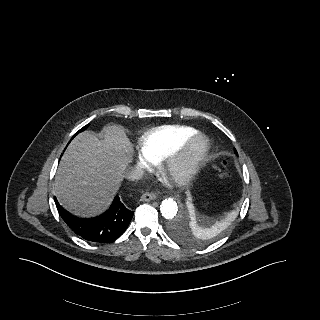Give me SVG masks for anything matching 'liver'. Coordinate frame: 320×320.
I'll use <instances>...</instances> for the list:
<instances>
[{
    "mask_svg": "<svg viewBox=\"0 0 320 320\" xmlns=\"http://www.w3.org/2000/svg\"><path fill=\"white\" fill-rule=\"evenodd\" d=\"M131 150L124 129L117 125L104 127L103 140L87 131L79 134L58 167L53 189L59 203L80 217L105 210L119 188Z\"/></svg>",
    "mask_w": 320,
    "mask_h": 320,
    "instance_id": "obj_1",
    "label": "liver"
}]
</instances>
